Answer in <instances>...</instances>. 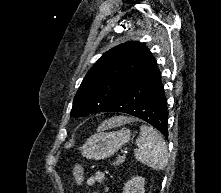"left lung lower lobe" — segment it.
<instances>
[{
  "instance_id": "left-lung-lower-lobe-1",
  "label": "left lung lower lobe",
  "mask_w": 221,
  "mask_h": 193,
  "mask_svg": "<svg viewBox=\"0 0 221 193\" xmlns=\"http://www.w3.org/2000/svg\"><path fill=\"white\" fill-rule=\"evenodd\" d=\"M105 112H123L138 117L167 139V99L157 64L135 79Z\"/></svg>"
}]
</instances>
